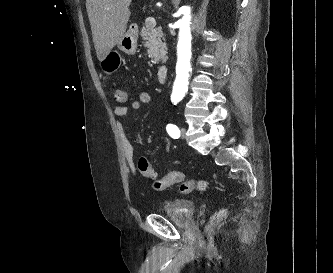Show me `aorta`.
<instances>
[{"instance_id":"obj_1","label":"aorta","mask_w":333,"mask_h":273,"mask_svg":"<svg viewBox=\"0 0 333 273\" xmlns=\"http://www.w3.org/2000/svg\"><path fill=\"white\" fill-rule=\"evenodd\" d=\"M183 17L179 20V34L177 43L176 80L173 86L172 100L180 101L188 89V78L191 70V8H181Z\"/></svg>"}]
</instances>
